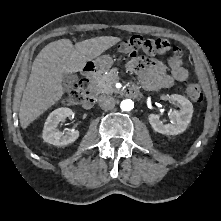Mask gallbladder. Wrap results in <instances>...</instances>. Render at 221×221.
Returning <instances> with one entry per match:
<instances>
[{"label": "gallbladder", "mask_w": 221, "mask_h": 221, "mask_svg": "<svg viewBox=\"0 0 221 221\" xmlns=\"http://www.w3.org/2000/svg\"><path fill=\"white\" fill-rule=\"evenodd\" d=\"M78 77L76 74L70 73L67 74L65 73L63 75V80H62V86L63 89L68 91L71 90L73 88L74 83L77 81Z\"/></svg>", "instance_id": "1"}]
</instances>
